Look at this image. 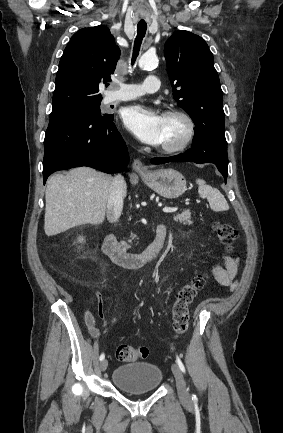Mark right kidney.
Segmentation results:
<instances>
[{"mask_svg":"<svg viewBox=\"0 0 283 433\" xmlns=\"http://www.w3.org/2000/svg\"><path fill=\"white\" fill-rule=\"evenodd\" d=\"M79 241H80V242H83V238L80 237V238H79Z\"/></svg>","mask_w":283,"mask_h":433,"instance_id":"1","label":"right kidney"}]
</instances>
